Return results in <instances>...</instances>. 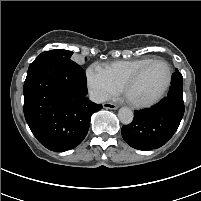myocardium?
<instances>
[{
  "label": "myocardium",
  "instance_id": "1",
  "mask_svg": "<svg viewBox=\"0 0 201 201\" xmlns=\"http://www.w3.org/2000/svg\"><path fill=\"white\" fill-rule=\"evenodd\" d=\"M156 62H162L166 65L167 70H168V77H167V81L164 85V87L162 88V90L152 99L147 100V101H137V100H133L128 96V91L129 88L136 82V80L140 77V75L144 72V70L146 68H148L151 64L156 63ZM172 79H173V69L171 67V65L169 64V62L163 58H154L150 61H148L147 63H145L144 65H142L140 68H138L122 85V93L125 97V99L127 100V102L137 108H145V107H150L154 104H156L157 102H159L164 95L168 92L171 84H172Z\"/></svg>",
  "mask_w": 201,
  "mask_h": 201
}]
</instances>
